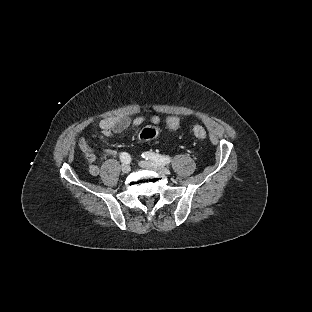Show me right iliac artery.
<instances>
[{"label":"right iliac artery","instance_id":"82829eb1","mask_svg":"<svg viewBox=\"0 0 312 312\" xmlns=\"http://www.w3.org/2000/svg\"><path fill=\"white\" fill-rule=\"evenodd\" d=\"M120 160L124 164H129L131 161V157L128 153L123 152V153H120Z\"/></svg>","mask_w":312,"mask_h":312}]
</instances>
